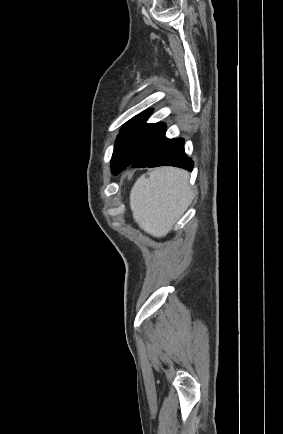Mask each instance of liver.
<instances>
[{
  "instance_id": "liver-1",
  "label": "liver",
  "mask_w": 283,
  "mask_h": 434,
  "mask_svg": "<svg viewBox=\"0 0 283 434\" xmlns=\"http://www.w3.org/2000/svg\"><path fill=\"white\" fill-rule=\"evenodd\" d=\"M140 176L130 193L135 222L153 237H164L192 202L189 173L174 167L155 168Z\"/></svg>"
}]
</instances>
